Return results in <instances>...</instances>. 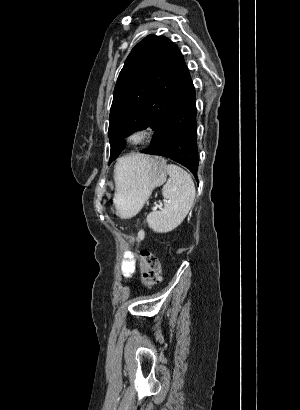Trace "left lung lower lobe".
Wrapping results in <instances>:
<instances>
[{
  "label": "left lung lower lobe",
  "mask_w": 300,
  "mask_h": 410,
  "mask_svg": "<svg viewBox=\"0 0 300 410\" xmlns=\"http://www.w3.org/2000/svg\"><path fill=\"white\" fill-rule=\"evenodd\" d=\"M195 88L190 78L185 92L159 122L145 154L170 158L187 167L195 177L198 169Z\"/></svg>",
  "instance_id": "obj_1"
}]
</instances>
